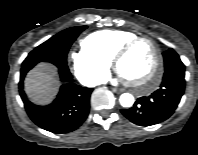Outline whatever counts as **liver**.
<instances>
[{
  "instance_id": "liver-1",
  "label": "liver",
  "mask_w": 198,
  "mask_h": 155,
  "mask_svg": "<svg viewBox=\"0 0 198 155\" xmlns=\"http://www.w3.org/2000/svg\"><path fill=\"white\" fill-rule=\"evenodd\" d=\"M58 77L53 66L41 63L25 78V91L36 104L50 103L58 91Z\"/></svg>"
}]
</instances>
